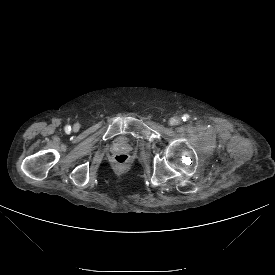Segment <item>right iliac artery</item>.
I'll return each mask as SVG.
<instances>
[{"label": "right iliac artery", "instance_id": "1", "mask_svg": "<svg viewBox=\"0 0 275 275\" xmlns=\"http://www.w3.org/2000/svg\"><path fill=\"white\" fill-rule=\"evenodd\" d=\"M65 130L68 132V131L71 130V127H70V126H66V127H65Z\"/></svg>", "mask_w": 275, "mask_h": 275}]
</instances>
